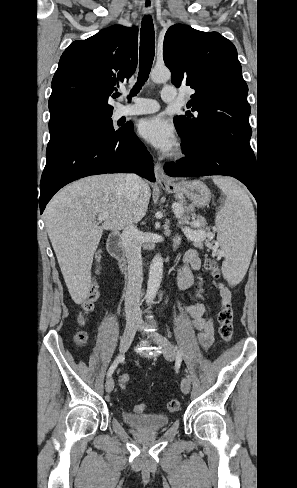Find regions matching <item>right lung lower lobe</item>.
Wrapping results in <instances>:
<instances>
[{
    "label": "right lung lower lobe",
    "instance_id": "obj_1",
    "mask_svg": "<svg viewBox=\"0 0 297 488\" xmlns=\"http://www.w3.org/2000/svg\"><path fill=\"white\" fill-rule=\"evenodd\" d=\"M130 172L155 181L152 157L133 127L111 136L72 142L48 157L40 181L39 206L43 213L53 195L82 177Z\"/></svg>",
    "mask_w": 297,
    "mask_h": 488
}]
</instances>
